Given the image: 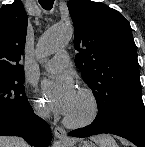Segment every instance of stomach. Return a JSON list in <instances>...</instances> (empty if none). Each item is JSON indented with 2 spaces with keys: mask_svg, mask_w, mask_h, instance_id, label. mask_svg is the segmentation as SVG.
Returning <instances> with one entry per match:
<instances>
[{
  "mask_svg": "<svg viewBox=\"0 0 145 147\" xmlns=\"http://www.w3.org/2000/svg\"><path fill=\"white\" fill-rule=\"evenodd\" d=\"M66 147H95V145L91 142L82 141L78 146L76 144H69Z\"/></svg>",
  "mask_w": 145,
  "mask_h": 147,
  "instance_id": "1",
  "label": "stomach"
}]
</instances>
